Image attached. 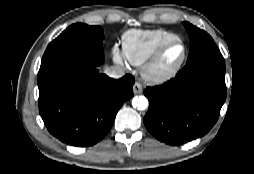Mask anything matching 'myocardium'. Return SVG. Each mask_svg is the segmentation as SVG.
Wrapping results in <instances>:
<instances>
[{"mask_svg":"<svg viewBox=\"0 0 254 174\" xmlns=\"http://www.w3.org/2000/svg\"><path fill=\"white\" fill-rule=\"evenodd\" d=\"M179 43L183 47V54L181 59L172 67L168 69L160 68V61L165 51L172 45ZM187 58V47L183 40L174 38L172 40L162 43L144 63L142 68V76L144 79L154 83H164L169 81L180 71Z\"/></svg>","mask_w":254,"mask_h":174,"instance_id":"f54148a6","label":"myocardium"}]
</instances>
